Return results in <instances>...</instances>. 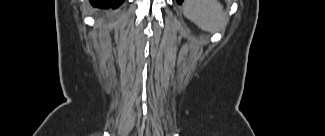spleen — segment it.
Listing matches in <instances>:
<instances>
[{
	"instance_id": "obj_1",
	"label": "spleen",
	"mask_w": 325,
	"mask_h": 136,
	"mask_svg": "<svg viewBox=\"0 0 325 136\" xmlns=\"http://www.w3.org/2000/svg\"><path fill=\"white\" fill-rule=\"evenodd\" d=\"M183 12L189 20L205 31H220L227 23L221 4L215 0H186Z\"/></svg>"
}]
</instances>
